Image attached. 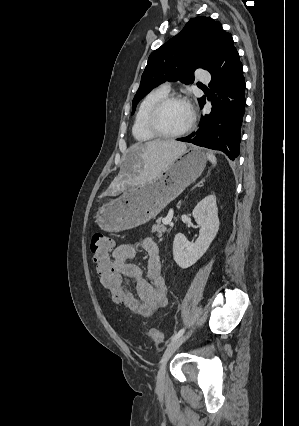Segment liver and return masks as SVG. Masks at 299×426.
<instances>
[{
  "label": "liver",
  "mask_w": 299,
  "mask_h": 426,
  "mask_svg": "<svg viewBox=\"0 0 299 426\" xmlns=\"http://www.w3.org/2000/svg\"><path fill=\"white\" fill-rule=\"evenodd\" d=\"M187 149V145L175 140H153L137 143L128 150L125 166L136 173L135 184L157 179L161 173Z\"/></svg>",
  "instance_id": "obj_1"
}]
</instances>
